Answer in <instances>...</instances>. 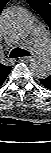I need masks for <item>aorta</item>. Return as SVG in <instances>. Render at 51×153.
I'll return each instance as SVG.
<instances>
[{
  "label": "aorta",
  "instance_id": "762f6f07",
  "mask_svg": "<svg viewBox=\"0 0 51 153\" xmlns=\"http://www.w3.org/2000/svg\"><path fill=\"white\" fill-rule=\"evenodd\" d=\"M2 28L7 36L24 38L33 29L34 20L30 13L22 7H11L2 13ZM31 72L40 79L51 75V61L42 56H36L30 61Z\"/></svg>",
  "mask_w": 51,
  "mask_h": 153
}]
</instances>
